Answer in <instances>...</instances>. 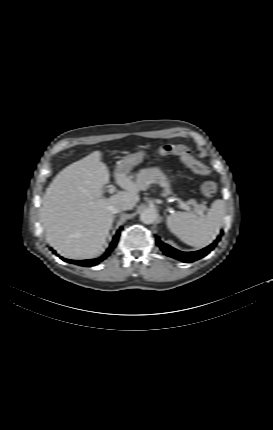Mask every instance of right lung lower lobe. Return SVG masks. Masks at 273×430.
I'll list each match as a JSON object with an SVG mask.
<instances>
[{"label": "right lung lower lobe", "instance_id": "right-lung-lower-lobe-1", "mask_svg": "<svg viewBox=\"0 0 273 430\" xmlns=\"http://www.w3.org/2000/svg\"><path fill=\"white\" fill-rule=\"evenodd\" d=\"M120 229H122V227H121ZM119 236H120V230H119V231H117L116 235H115V236H114V238H113L112 243L110 244L109 248L106 250L105 254H104L102 257L98 258V259H90V260H81V261H76V260H68V259H64V258H62V257H60V258H61L62 260H64V261H66V262H69V263H75V264L80 265V266H85V267L94 266V265H96V264L100 263L101 261H103L104 259H106V258L110 255L111 251H112V250L115 248V246L117 245V242H118Z\"/></svg>", "mask_w": 273, "mask_h": 430}]
</instances>
